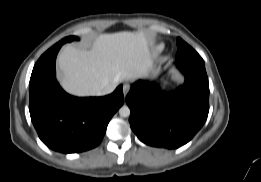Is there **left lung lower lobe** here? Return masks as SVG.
I'll use <instances>...</instances> for the list:
<instances>
[{
  "label": "left lung lower lobe",
  "instance_id": "0a47b994",
  "mask_svg": "<svg viewBox=\"0 0 261 182\" xmlns=\"http://www.w3.org/2000/svg\"><path fill=\"white\" fill-rule=\"evenodd\" d=\"M184 84L166 94L154 83L138 81L126 96L129 122L145 144L167 149L189 142L205 123L209 112V83L204 61H176Z\"/></svg>",
  "mask_w": 261,
  "mask_h": 182
}]
</instances>
